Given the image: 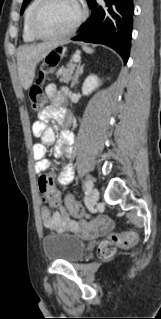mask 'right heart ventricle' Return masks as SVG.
Here are the masks:
<instances>
[{"instance_id": "e07e8e85", "label": "right heart ventricle", "mask_w": 161, "mask_h": 319, "mask_svg": "<svg viewBox=\"0 0 161 319\" xmlns=\"http://www.w3.org/2000/svg\"><path fill=\"white\" fill-rule=\"evenodd\" d=\"M38 3L39 0H32L24 14L22 37L26 42H32L36 39L30 31V20Z\"/></svg>"}]
</instances>
